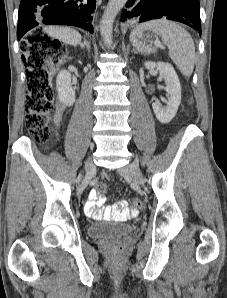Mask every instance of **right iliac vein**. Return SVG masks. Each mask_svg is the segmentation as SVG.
Instances as JSON below:
<instances>
[{
	"mask_svg": "<svg viewBox=\"0 0 227 298\" xmlns=\"http://www.w3.org/2000/svg\"><path fill=\"white\" fill-rule=\"evenodd\" d=\"M85 168H86L87 175L88 176H91L92 173H93V171H94V168H95V166H94V164H93V162H92L91 159H88L87 160L86 165H85Z\"/></svg>",
	"mask_w": 227,
	"mask_h": 298,
	"instance_id": "right-iliac-vein-1",
	"label": "right iliac vein"
}]
</instances>
